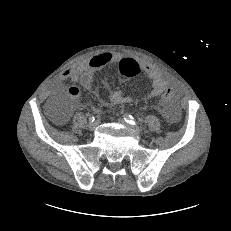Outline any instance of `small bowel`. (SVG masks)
Listing matches in <instances>:
<instances>
[{
    "label": "small bowel",
    "instance_id": "c3829d8e",
    "mask_svg": "<svg viewBox=\"0 0 231 231\" xmlns=\"http://www.w3.org/2000/svg\"><path fill=\"white\" fill-rule=\"evenodd\" d=\"M122 59L124 58L120 53L105 52L95 55L76 66L65 69L62 72L59 80L55 82L54 89H59L61 87V82L64 80L78 82L83 88L90 89L94 84L99 70L106 66L116 64ZM136 62L141 66L142 72L151 83V90L144 99H150L161 95L163 93V88L166 85H171V80L165 77L163 73L154 66L144 62ZM68 93L75 100L80 98V90L77 87H70L68 89ZM108 100L110 103L116 105L129 104L136 101L119 90L111 91L109 93ZM100 104L101 106H104L106 101L101 100ZM160 112L170 123L177 122L180 115V110L176 103L165 105L164 107L160 108Z\"/></svg>",
    "mask_w": 231,
    "mask_h": 231
}]
</instances>
